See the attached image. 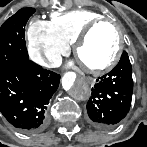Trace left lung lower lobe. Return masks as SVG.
<instances>
[{"mask_svg":"<svg viewBox=\"0 0 147 147\" xmlns=\"http://www.w3.org/2000/svg\"><path fill=\"white\" fill-rule=\"evenodd\" d=\"M87 103L88 122L98 129L117 125L129 112L133 79L132 67L126 52L117 66L96 80Z\"/></svg>","mask_w":147,"mask_h":147,"instance_id":"0a47b994","label":"left lung lower lobe"}]
</instances>
